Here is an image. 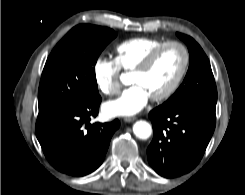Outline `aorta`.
<instances>
[{
    "label": "aorta",
    "instance_id": "obj_1",
    "mask_svg": "<svg viewBox=\"0 0 245 195\" xmlns=\"http://www.w3.org/2000/svg\"><path fill=\"white\" fill-rule=\"evenodd\" d=\"M133 133L140 139H147L152 134V127L148 122L139 120L133 125Z\"/></svg>",
    "mask_w": 245,
    "mask_h": 195
}]
</instances>
